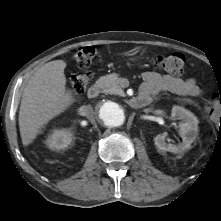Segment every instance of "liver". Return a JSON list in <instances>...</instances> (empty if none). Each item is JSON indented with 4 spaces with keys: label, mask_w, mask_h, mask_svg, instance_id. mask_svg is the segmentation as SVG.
Returning a JSON list of instances; mask_svg holds the SVG:
<instances>
[{
    "label": "liver",
    "mask_w": 221,
    "mask_h": 221,
    "mask_svg": "<svg viewBox=\"0 0 221 221\" xmlns=\"http://www.w3.org/2000/svg\"><path fill=\"white\" fill-rule=\"evenodd\" d=\"M63 60H54L40 67L24 88L19 110V129L24 146L40 133L43 125L68 109L74 102L66 90Z\"/></svg>",
    "instance_id": "1"
}]
</instances>
